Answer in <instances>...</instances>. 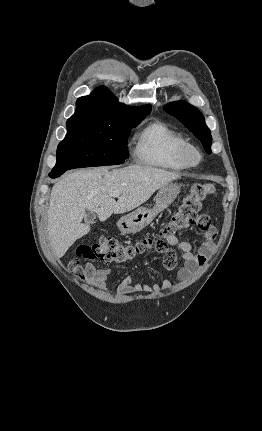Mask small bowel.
I'll return each mask as SVG.
<instances>
[{
    "mask_svg": "<svg viewBox=\"0 0 262 431\" xmlns=\"http://www.w3.org/2000/svg\"><path fill=\"white\" fill-rule=\"evenodd\" d=\"M199 230L203 234L205 241L202 246L195 251L193 246L184 240L179 239L175 235H169L166 240L172 247H176L182 257L183 265L178 269L177 278L180 282L189 281L196 275L200 268L207 262L210 251L214 247L216 231L212 226V219L208 215H204L199 223ZM162 262L166 270L174 271L178 266V257L174 251L163 253ZM88 270L81 277L83 281L89 285H93L104 289L107 284V279L111 275L109 268H96L91 264H87ZM174 285L171 278H165L159 283L135 282L129 276L120 280L118 288L122 294L163 292L170 289Z\"/></svg>",
    "mask_w": 262,
    "mask_h": 431,
    "instance_id": "c3829d8e",
    "label": "small bowel"
}]
</instances>
